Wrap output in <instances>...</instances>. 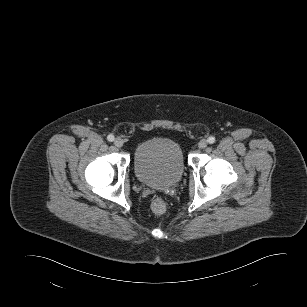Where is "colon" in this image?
Masks as SVG:
<instances>
[{
  "label": "colon",
  "instance_id": "1",
  "mask_svg": "<svg viewBox=\"0 0 307 307\" xmlns=\"http://www.w3.org/2000/svg\"><path fill=\"white\" fill-rule=\"evenodd\" d=\"M151 210L156 215H161L166 211V203L162 198H155L151 204Z\"/></svg>",
  "mask_w": 307,
  "mask_h": 307
}]
</instances>
